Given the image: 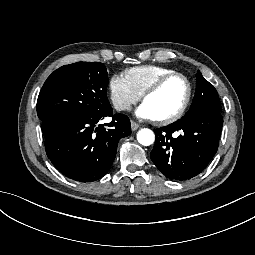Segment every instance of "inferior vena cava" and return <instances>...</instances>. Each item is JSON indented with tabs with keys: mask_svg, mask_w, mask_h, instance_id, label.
Returning <instances> with one entry per match:
<instances>
[{
	"mask_svg": "<svg viewBox=\"0 0 255 255\" xmlns=\"http://www.w3.org/2000/svg\"><path fill=\"white\" fill-rule=\"evenodd\" d=\"M113 105L116 110H126L130 108V102L120 96H114L113 98Z\"/></svg>",
	"mask_w": 255,
	"mask_h": 255,
	"instance_id": "602c4592",
	"label": "inferior vena cava"
}]
</instances>
